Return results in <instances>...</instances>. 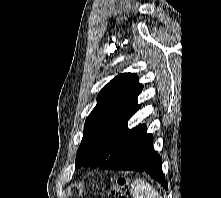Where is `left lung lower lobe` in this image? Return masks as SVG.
Segmentation results:
<instances>
[{
    "instance_id": "left-lung-lower-lobe-1",
    "label": "left lung lower lobe",
    "mask_w": 221,
    "mask_h": 198,
    "mask_svg": "<svg viewBox=\"0 0 221 198\" xmlns=\"http://www.w3.org/2000/svg\"><path fill=\"white\" fill-rule=\"evenodd\" d=\"M99 168L144 171L168 189L161 168V157L153 149V138L147 134L145 124L126 139Z\"/></svg>"
}]
</instances>
